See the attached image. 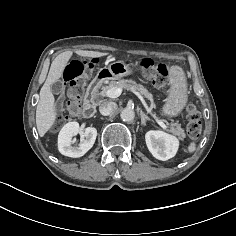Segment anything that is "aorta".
Segmentation results:
<instances>
[{"label":"aorta","instance_id":"obj_1","mask_svg":"<svg viewBox=\"0 0 236 236\" xmlns=\"http://www.w3.org/2000/svg\"><path fill=\"white\" fill-rule=\"evenodd\" d=\"M120 117L123 121H132L135 118V112L131 108H124L121 113Z\"/></svg>","mask_w":236,"mask_h":236}]
</instances>
